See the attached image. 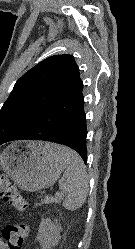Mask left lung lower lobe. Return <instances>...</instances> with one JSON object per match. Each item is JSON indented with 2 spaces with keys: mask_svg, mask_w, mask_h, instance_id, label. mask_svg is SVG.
<instances>
[{
  "mask_svg": "<svg viewBox=\"0 0 135 249\" xmlns=\"http://www.w3.org/2000/svg\"><path fill=\"white\" fill-rule=\"evenodd\" d=\"M83 84L41 109L20 132L0 145L14 140H42L69 146L87 161L86 115Z\"/></svg>",
  "mask_w": 135,
  "mask_h": 249,
  "instance_id": "1",
  "label": "left lung lower lobe"
}]
</instances>
